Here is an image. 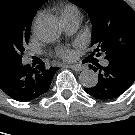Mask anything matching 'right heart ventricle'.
<instances>
[{"label": "right heart ventricle", "instance_id": "right-heart-ventricle-1", "mask_svg": "<svg viewBox=\"0 0 135 135\" xmlns=\"http://www.w3.org/2000/svg\"><path fill=\"white\" fill-rule=\"evenodd\" d=\"M59 16L60 19L70 16L80 17V11L78 7L74 4H65L59 9Z\"/></svg>", "mask_w": 135, "mask_h": 135}]
</instances>
